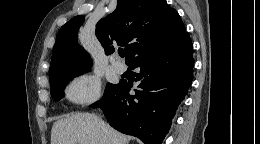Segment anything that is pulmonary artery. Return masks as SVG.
<instances>
[{"mask_svg":"<svg viewBox=\"0 0 260 144\" xmlns=\"http://www.w3.org/2000/svg\"><path fill=\"white\" fill-rule=\"evenodd\" d=\"M111 66L112 69L117 73H122L125 71V66L117 60H113Z\"/></svg>","mask_w":260,"mask_h":144,"instance_id":"e3ab8cb5","label":"pulmonary artery"}]
</instances>
